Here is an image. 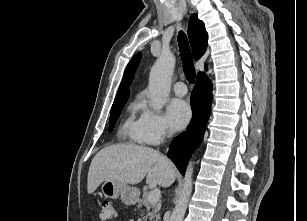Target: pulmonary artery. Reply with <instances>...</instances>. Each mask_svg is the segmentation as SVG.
<instances>
[{
	"label": "pulmonary artery",
	"mask_w": 307,
	"mask_h": 221,
	"mask_svg": "<svg viewBox=\"0 0 307 221\" xmlns=\"http://www.w3.org/2000/svg\"><path fill=\"white\" fill-rule=\"evenodd\" d=\"M173 90L178 96H184L187 93V87L183 82H176L173 85Z\"/></svg>",
	"instance_id": "obj_1"
}]
</instances>
